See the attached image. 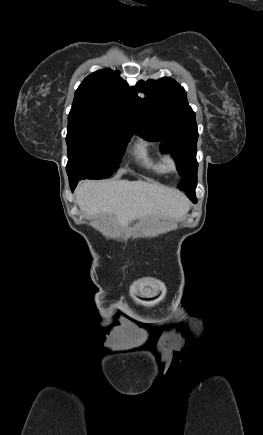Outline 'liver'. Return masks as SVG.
<instances>
[{"mask_svg": "<svg viewBox=\"0 0 263 435\" xmlns=\"http://www.w3.org/2000/svg\"><path fill=\"white\" fill-rule=\"evenodd\" d=\"M76 203L88 216L116 215L122 225L149 215L180 218L189 211L180 192L143 181H84L76 190Z\"/></svg>", "mask_w": 263, "mask_h": 435, "instance_id": "liver-1", "label": "liver"}]
</instances>
